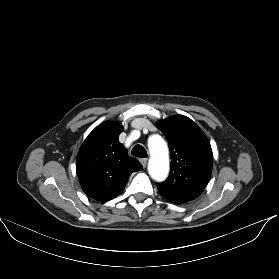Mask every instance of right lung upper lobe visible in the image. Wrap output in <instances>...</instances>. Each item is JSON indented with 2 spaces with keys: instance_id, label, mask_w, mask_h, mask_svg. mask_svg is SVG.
Listing matches in <instances>:
<instances>
[{
  "instance_id": "right-lung-upper-lobe-1",
  "label": "right lung upper lobe",
  "mask_w": 279,
  "mask_h": 279,
  "mask_svg": "<svg viewBox=\"0 0 279 279\" xmlns=\"http://www.w3.org/2000/svg\"><path fill=\"white\" fill-rule=\"evenodd\" d=\"M122 128L118 122L102 123L90 133L77 154L76 171L81 187L100 202L121 194L129 176L143 168L119 142Z\"/></svg>"
}]
</instances>
